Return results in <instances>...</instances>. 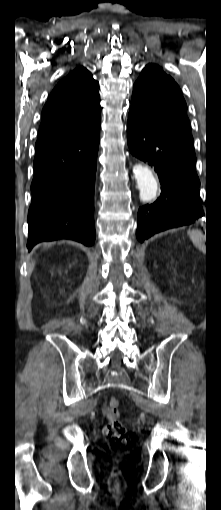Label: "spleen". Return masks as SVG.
I'll use <instances>...</instances> for the list:
<instances>
[{
    "label": "spleen",
    "mask_w": 221,
    "mask_h": 510,
    "mask_svg": "<svg viewBox=\"0 0 221 510\" xmlns=\"http://www.w3.org/2000/svg\"><path fill=\"white\" fill-rule=\"evenodd\" d=\"M189 236H190L192 242L194 243V245L201 251H204L205 236L203 235V233H201L198 230H192V231H189Z\"/></svg>",
    "instance_id": "obj_1"
}]
</instances>
